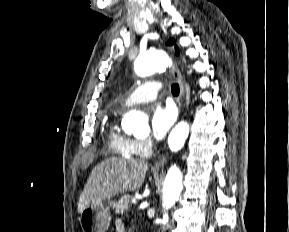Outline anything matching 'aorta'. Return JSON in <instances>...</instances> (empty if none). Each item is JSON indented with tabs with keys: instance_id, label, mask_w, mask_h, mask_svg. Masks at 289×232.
<instances>
[{
	"instance_id": "762f6f07",
	"label": "aorta",
	"mask_w": 289,
	"mask_h": 232,
	"mask_svg": "<svg viewBox=\"0 0 289 232\" xmlns=\"http://www.w3.org/2000/svg\"><path fill=\"white\" fill-rule=\"evenodd\" d=\"M169 58L163 50H151L137 57L134 62V69L138 76L146 77L156 72H163L169 66ZM122 128L127 133L136 136L148 134L150 131L147 117L140 111L132 110L125 114L122 120ZM189 125L187 122H180L170 133L168 145L171 151H179L188 138ZM182 173L174 165L166 175L163 186L162 206L164 210L172 208L178 201L182 191ZM168 215L165 213L162 223L166 224Z\"/></svg>"
}]
</instances>
